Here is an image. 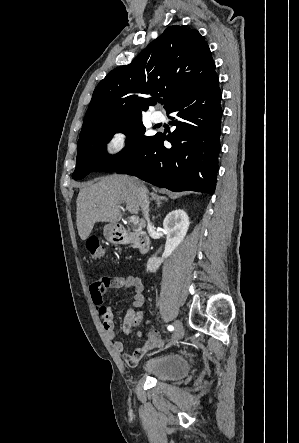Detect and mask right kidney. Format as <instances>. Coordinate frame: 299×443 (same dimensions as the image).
I'll return each mask as SVG.
<instances>
[{
    "mask_svg": "<svg viewBox=\"0 0 299 443\" xmlns=\"http://www.w3.org/2000/svg\"><path fill=\"white\" fill-rule=\"evenodd\" d=\"M189 217L184 210L178 209L170 212L163 221L167 233L165 250L162 258L152 256L147 262V271L155 272L160 264L169 257L183 241L189 228Z\"/></svg>",
    "mask_w": 299,
    "mask_h": 443,
    "instance_id": "1",
    "label": "right kidney"
}]
</instances>
